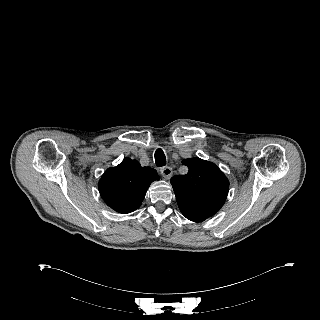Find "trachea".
<instances>
[{"label": "trachea", "mask_w": 320, "mask_h": 320, "mask_svg": "<svg viewBox=\"0 0 320 320\" xmlns=\"http://www.w3.org/2000/svg\"><path fill=\"white\" fill-rule=\"evenodd\" d=\"M155 162L158 167H163L166 165V157L161 149H157L155 152Z\"/></svg>", "instance_id": "1"}]
</instances>
